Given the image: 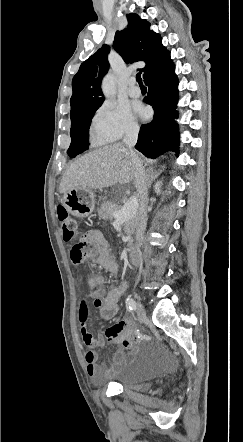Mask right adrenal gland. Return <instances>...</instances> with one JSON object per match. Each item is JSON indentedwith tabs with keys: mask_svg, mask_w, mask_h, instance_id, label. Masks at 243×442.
<instances>
[{
	"mask_svg": "<svg viewBox=\"0 0 243 442\" xmlns=\"http://www.w3.org/2000/svg\"><path fill=\"white\" fill-rule=\"evenodd\" d=\"M158 174L154 173L152 170H148L146 173L147 177V188L149 189L151 187V184L155 178H157Z\"/></svg>",
	"mask_w": 243,
	"mask_h": 442,
	"instance_id": "right-adrenal-gland-1",
	"label": "right adrenal gland"
}]
</instances>
